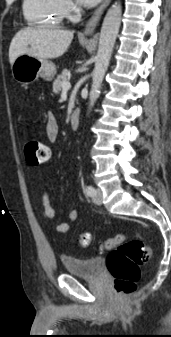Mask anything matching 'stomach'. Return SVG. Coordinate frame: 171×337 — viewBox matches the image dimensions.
Masks as SVG:
<instances>
[{"instance_id": "0dacf381", "label": "stomach", "mask_w": 171, "mask_h": 337, "mask_svg": "<svg viewBox=\"0 0 171 337\" xmlns=\"http://www.w3.org/2000/svg\"><path fill=\"white\" fill-rule=\"evenodd\" d=\"M11 69L14 79L22 84L32 83L39 77L51 81L56 75V66L53 62L28 54L18 56Z\"/></svg>"}]
</instances>
